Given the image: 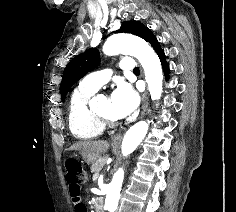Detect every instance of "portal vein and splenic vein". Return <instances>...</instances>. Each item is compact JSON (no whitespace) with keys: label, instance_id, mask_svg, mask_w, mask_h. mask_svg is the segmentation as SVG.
I'll return each mask as SVG.
<instances>
[{"label":"portal vein and splenic vein","instance_id":"1","mask_svg":"<svg viewBox=\"0 0 236 212\" xmlns=\"http://www.w3.org/2000/svg\"><path fill=\"white\" fill-rule=\"evenodd\" d=\"M99 176H94L93 179H98Z\"/></svg>","mask_w":236,"mask_h":212}]
</instances>
